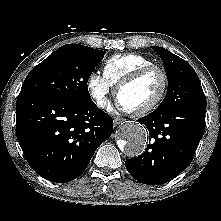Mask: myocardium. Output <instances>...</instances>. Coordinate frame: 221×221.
Here are the masks:
<instances>
[{
  "instance_id": "f54148a6",
  "label": "myocardium",
  "mask_w": 221,
  "mask_h": 221,
  "mask_svg": "<svg viewBox=\"0 0 221 221\" xmlns=\"http://www.w3.org/2000/svg\"><path fill=\"white\" fill-rule=\"evenodd\" d=\"M152 71H158L161 75V78H162V87H161L159 94L156 96V98L152 102H150L149 104L139 107V108L130 109V108H126V107L122 106L119 102L120 92L124 88L134 84L135 82H137L142 77H144L145 75H147L148 73H150ZM168 85H169L168 75H167L166 71L161 66L156 65V64L144 66V67H141L138 70L134 71L133 73H131L129 76L125 77L124 79H122L116 85L115 99H116L118 106L124 112H126L128 114L135 115V116H141V115H144V114H147V113L153 111L161 104V102L163 101V99L166 96V93L168 90Z\"/></svg>"
}]
</instances>
